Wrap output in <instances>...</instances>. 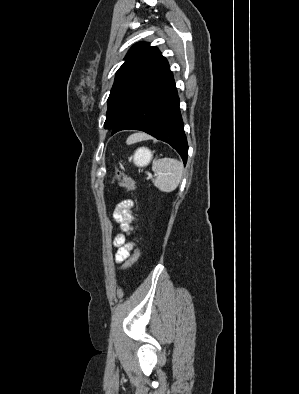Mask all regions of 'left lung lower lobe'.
I'll use <instances>...</instances> for the list:
<instances>
[{
	"mask_svg": "<svg viewBox=\"0 0 299 394\" xmlns=\"http://www.w3.org/2000/svg\"><path fill=\"white\" fill-rule=\"evenodd\" d=\"M141 130L170 144L187 162L188 144L183 129L179 98L168 68L134 102L125 116L112 129Z\"/></svg>",
	"mask_w": 299,
	"mask_h": 394,
	"instance_id": "left-lung-lower-lobe-1",
	"label": "left lung lower lobe"
}]
</instances>
